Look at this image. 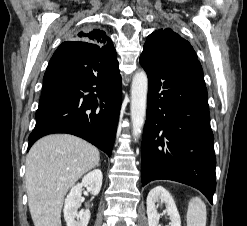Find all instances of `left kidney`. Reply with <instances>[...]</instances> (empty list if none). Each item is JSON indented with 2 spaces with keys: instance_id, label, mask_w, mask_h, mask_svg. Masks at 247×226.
Returning a JSON list of instances; mask_svg holds the SVG:
<instances>
[{
  "instance_id": "left-kidney-1",
  "label": "left kidney",
  "mask_w": 247,
  "mask_h": 226,
  "mask_svg": "<svg viewBox=\"0 0 247 226\" xmlns=\"http://www.w3.org/2000/svg\"><path fill=\"white\" fill-rule=\"evenodd\" d=\"M163 202L166 205L165 214L170 216V226H181L180 215L171 194L163 187H154L147 196V216L149 226H160L161 214L156 209V203Z\"/></svg>"
}]
</instances>
